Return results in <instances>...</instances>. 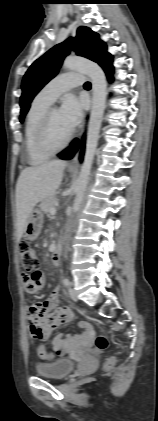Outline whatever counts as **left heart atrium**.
<instances>
[{"label": "left heart atrium", "mask_w": 158, "mask_h": 421, "mask_svg": "<svg viewBox=\"0 0 158 421\" xmlns=\"http://www.w3.org/2000/svg\"><path fill=\"white\" fill-rule=\"evenodd\" d=\"M61 119L66 127L72 131L81 121L82 104L74 96H67L59 110Z\"/></svg>", "instance_id": "obj_1"}]
</instances>
